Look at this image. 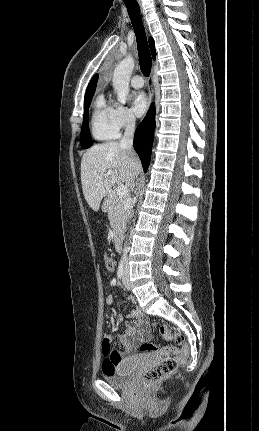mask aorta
<instances>
[{
    "label": "aorta",
    "instance_id": "1",
    "mask_svg": "<svg viewBox=\"0 0 259 431\" xmlns=\"http://www.w3.org/2000/svg\"><path fill=\"white\" fill-rule=\"evenodd\" d=\"M134 59L132 56L124 58L115 68L113 74V88L117 94V100L125 104L129 93V81L134 69Z\"/></svg>",
    "mask_w": 259,
    "mask_h": 431
}]
</instances>
